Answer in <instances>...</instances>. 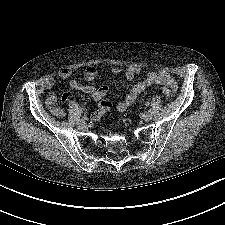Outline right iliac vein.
<instances>
[{"mask_svg":"<svg viewBox=\"0 0 225 225\" xmlns=\"http://www.w3.org/2000/svg\"><path fill=\"white\" fill-rule=\"evenodd\" d=\"M78 127L81 128V129H85L86 128V122L85 121H79Z\"/></svg>","mask_w":225,"mask_h":225,"instance_id":"right-iliac-vein-1","label":"right iliac vein"}]
</instances>
